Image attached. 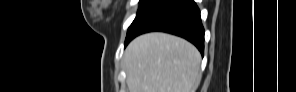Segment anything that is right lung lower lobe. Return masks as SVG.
Masks as SVG:
<instances>
[{
    "label": "right lung lower lobe",
    "instance_id": "right-lung-lower-lobe-1",
    "mask_svg": "<svg viewBox=\"0 0 296 92\" xmlns=\"http://www.w3.org/2000/svg\"><path fill=\"white\" fill-rule=\"evenodd\" d=\"M163 31L192 42L203 54L204 28L194 0H155L127 33L125 46L136 36Z\"/></svg>",
    "mask_w": 296,
    "mask_h": 92
}]
</instances>
